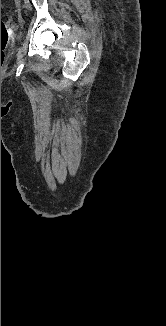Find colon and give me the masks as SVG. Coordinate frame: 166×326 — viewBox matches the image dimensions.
Here are the masks:
<instances>
[{"mask_svg":"<svg viewBox=\"0 0 166 326\" xmlns=\"http://www.w3.org/2000/svg\"><path fill=\"white\" fill-rule=\"evenodd\" d=\"M8 43V32L4 22L1 20V67L5 60V48Z\"/></svg>","mask_w":166,"mask_h":326,"instance_id":"1","label":"colon"}]
</instances>
